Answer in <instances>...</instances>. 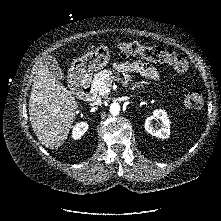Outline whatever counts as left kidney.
I'll use <instances>...</instances> for the list:
<instances>
[{
  "label": "left kidney",
  "instance_id": "1",
  "mask_svg": "<svg viewBox=\"0 0 221 221\" xmlns=\"http://www.w3.org/2000/svg\"><path fill=\"white\" fill-rule=\"evenodd\" d=\"M153 120L160 121L161 127L153 126ZM145 130L158 138H168L170 135V122L164 110L159 109L153 112L145 121Z\"/></svg>",
  "mask_w": 221,
  "mask_h": 221
}]
</instances>
